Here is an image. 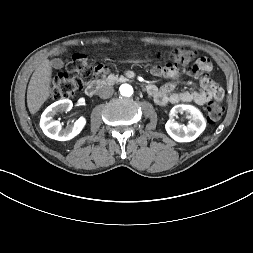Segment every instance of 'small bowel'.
Instances as JSON below:
<instances>
[{"label":"small bowel","instance_id":"1","mask_svg":"<svg viewBox=\"0 0 253 253\" xmlns=\"http://www.w3.org/2000/svg\"><path fill=\"white\" fill-rule=\"evenodd\" d=\"M211 70L210 61L206 57H200L188 64L184 68L186 77L196 79L200 77L199 90L176 91L178 82L173 81L161 87L155 84L147 86L148 93L155 99L159 105L177 104L181 102H194L198 105H204L212 99L220 100L223 98L222 88L212 81L209 77ZM151 74L156 77H167L176 80L178 78L179 69L173 62L166 65L154 66Z\"/></svg>","mask_w":253,"mask_h":253}]
</instances>
